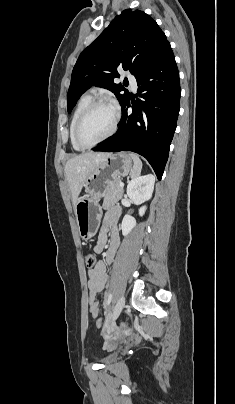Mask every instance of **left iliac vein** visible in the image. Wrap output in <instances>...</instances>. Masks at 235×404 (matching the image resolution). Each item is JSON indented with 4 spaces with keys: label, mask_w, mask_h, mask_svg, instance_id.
<instances>
[{
    "label": "left iliac vein",
    "mask_w": 235,
    "mask_h": 404,
    "mask_svg": "<svg viewBox=\"0 0 235 404\" xmlns=\"http://www.w3.org/2000/svg\"><path fill=\"white\" fill-rule=\"evenodd\" d=\"M125 305V297L121 296L115 306L112 318H111V322L113 323L119 316V314L121 313L122 309L124 308Z\"/></svg>",
    "instance_id": "obj_1"
}]
</instances>
